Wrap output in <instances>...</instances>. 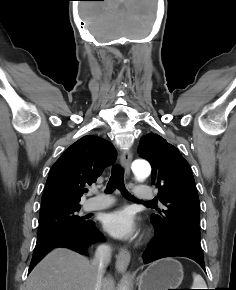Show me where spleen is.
Listing matches in <instances>:
<instances>
[{
  "label": "spleen",
  "mask_w": 236,
  "mask_h": 290,
  "mask_svg": "<svg viewBox=\"0 0 236 290\" xmlns=\"http://www.w3.org/2000/svg\"><path fill=\"white\" fill-rule=\"evenodd\" d=\"M192 289H207L206 283L201 275L196 274V273L193 274Z\"/></svg>",
  "instance_id": "obj_1"
}]
</instances>
